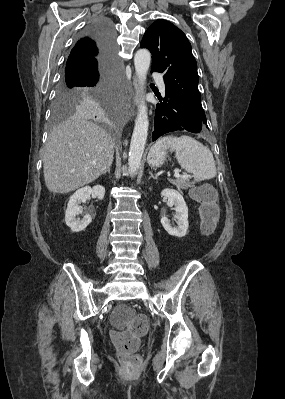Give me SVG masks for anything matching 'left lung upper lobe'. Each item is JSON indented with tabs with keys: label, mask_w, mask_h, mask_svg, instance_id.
Instances as JSON below:
<instances>
[{
	"label": "left lung upper lobe",
	"mask_w": 285,
	"mask_h": 399,
	"mask_svg": "<svg viewBox=\"0 0 285 399\" xmlns=\"http://www.w3.org/2000/svg\"><path fill=\"white\" fill-rule=\"evenodd\" d=\"M141 47L152 53V71L163 73L166 90L176 95L207 126L198 90L197 63L185 34L166 20L155 21Z\"/></svg>",
	"instance_id": "left-lung-upper-lobe-1"
}]
</instances>
